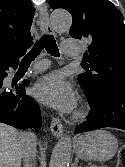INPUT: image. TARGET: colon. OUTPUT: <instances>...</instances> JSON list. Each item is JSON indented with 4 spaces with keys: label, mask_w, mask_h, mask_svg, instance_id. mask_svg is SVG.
<instances>
[{
    "label": "colon",
    "mask_w": 125,
    "mask_h": 167,
    "mask_svg": "<svg viewBox=\"0 0 125 167\" xmlns=\"http://www.w3.org/2000/svg\"><path fill=\"white\" fill-rule=\"evenodd\" d=\"M117 167H125V144L119 150Z\"/></svg>",
    "instance_id": "colon-1"
}]
</instances>
